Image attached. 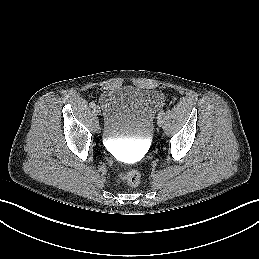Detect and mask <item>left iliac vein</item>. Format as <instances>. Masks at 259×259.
Here are the masks:
<instances>
[{
  "label": "left iliac vein",
  "mask_w": 259,
  "mask_h": 259,
  "mask_svg": "<svg viewBox=\"0 0 259 259\" xmlns=\"http://www.w3.org/2000/svg\"><path fill=\"white\" fill-rule=\"evenodd\" d=\"M157 123H158L159 126H162V124H163L162 119H158V122H157Z\"/></svg>",
  "instance_id": "4c4485c4"
}]
</instances>
